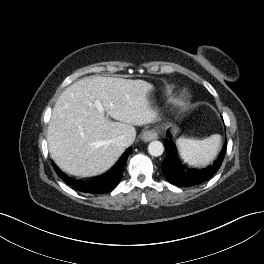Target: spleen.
Instances as JSON below:
<instances>
[{"mask_svg": "<svg viewBox=\"0 0 264 264\" xmlns=\"http://www.w3.org/2000/svg\"><path fill=\"white\" fill-rule=\"evenodd\" d=\"M177 146L181 157L192 165H204L214 160L221 147V136L211 135L203 140L180 137Z\"/></svg>", "mask_w": 264, "mask_h": 264, "instance_id": "3e777b00", "label": "spleen"}]
</instances>
